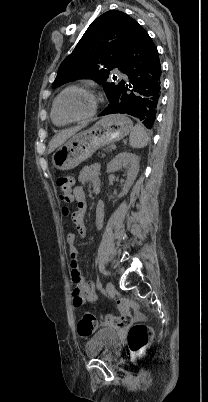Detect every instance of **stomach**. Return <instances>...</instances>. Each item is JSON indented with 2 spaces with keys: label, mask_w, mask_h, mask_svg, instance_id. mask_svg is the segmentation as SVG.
<instances>
[{
  "label": "stomach",
  "mask_w": 208,
  "mask_h": 402,
  "mask_svg": "<svg viewBox=\"0 0 208 402\" xmlns=\"http://www.w3.org/2000/svg\"><path fill=\"white\" fill-rule=\"evenodd\" d=\"M132 130L131 120L124 114L104 116L92 128L76 134L69 142L60 146L52 156V164L57 170H73L91 158L96 150L122 140Z\"/></svg>",
  "instance_id": "0dacf381"
}]
</instances>
